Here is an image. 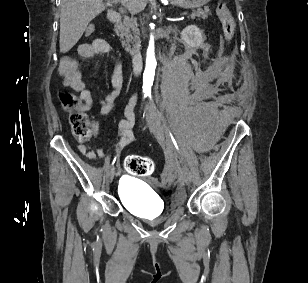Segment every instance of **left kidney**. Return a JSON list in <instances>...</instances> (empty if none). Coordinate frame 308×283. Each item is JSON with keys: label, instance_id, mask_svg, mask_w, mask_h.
Segmentation results:
<instances>
[{"label": "left kidney", "instance_id": "5707ae66", "mask_svg": "<svg viewBox=\"0 0 308 283\" xmlns=\"http://www.w3.org/2000/svg\"><path fill=\"white\" fill-rule=\"evenodd\" d=\"M181 38L187 45L193 48L199 47L204 41L202 32L195 25H189L184 28L181 32Z\"/></svg>", "mask_w": 308, "mask_h": 283}]
</instances>
